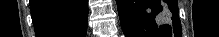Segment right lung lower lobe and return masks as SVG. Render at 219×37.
Wrapping results in <instances>:
<instances>
[{"label": "right lung lower lobe", "mask_w": 219, "mask_h": 37, "mask_svg": "<svg viewBox=\"0 0 219 37\" xmlns=\"http://www.w3.org/2000/svg\"><path fill=\"white\" fill-rule=\"evenodd\" d=\"M37 37H85L87 0H30Z\"/></svg>", "instance_id": "98d812e1"}]
</instances>
